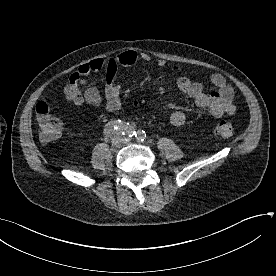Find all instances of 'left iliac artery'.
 I'll return each mask as SVG.
<instances>
[{
    "mask_svg": "<svg viewBox=\"0 0 276 276\" xmlns=\"http://www.w3.org/2000/svg\"><path fill=\"white\" fill-rule=\"evenodd\" d=\"M135 137L138 141H144V139L146 138V133L143 130H137L135 132Z\"/></svg>",
    "mask_w": 276,
    "mask_h": 276,
    "instance_id": "left-iliac-artery-1",
    "label": "left iliac artery"
}]
</instances>
